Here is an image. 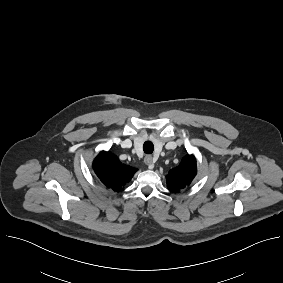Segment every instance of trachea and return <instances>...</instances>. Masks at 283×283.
Returning <instances> with one entry per match:
<instances>
[{
  "label": "trachea",
  "instance_id": "1",
  "mask_svg": "<svg viewBox=\"0 0 283 283\" xmlns=\"http://www.w3.org/2000/svg\"><path fill=\"white\" fill-rule=\"evenodd\" d=\"M143 150L146 154H151L154 150V145L151 141H146L143 145Z\"/></svg>",
  "mask_w": 283,
  "mask_h": 283
}]
</instances>
